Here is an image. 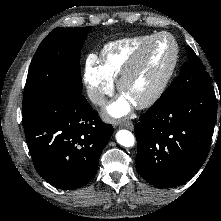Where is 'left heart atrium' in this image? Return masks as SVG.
<instances>
[{
  "mask_svg": "<svg viewBox=\"0 0 221 221\" xmlns=\"http://www.w3.org/2000/svg\"><path fill=\"white\" fill-rule=\"evenodd\" d=\"M132 109V102L124 95L112 102L106 109L109 116L121 118L126 116Z\"/></svg>",
  "mask_w": 221,
  "mask_h": 221,
  "instance_id": "left-heart-atrium-1",
  "label": "left heart atrium"
}]
</instances>
